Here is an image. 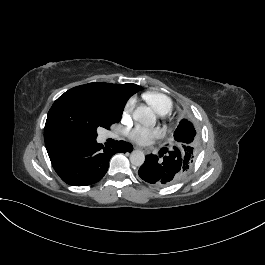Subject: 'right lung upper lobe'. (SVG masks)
I'll return each mask as SVG.
<instances>
[{
  "mask_svg": "<svg viewBox=\"0 0 265 265\" xmlns=\"http://www.w3.org/2000/svg\"><path fill=\"white\" fill-rule=\"evenodd\" d=\"M82 86L104 87V88L118 90L124 93L125 95H127L128 98L132 96L134 93L141 90L140 86L136 84H131V83H127L123 85L110 84V83H89V84L82 85ZM44 138H45L46 149H47L50 159L54 158L56 155H58L63 150L71 146L77 145V144L67 142V141L61 140L53 136L52 134L48 132L46 128H44Z\"/></svg>",
  "mask_w": 265,
  "mask_h": 265,
  "instance_id": "obj_1",
  "label": "right lung upper lobe"
}]
</instances>
